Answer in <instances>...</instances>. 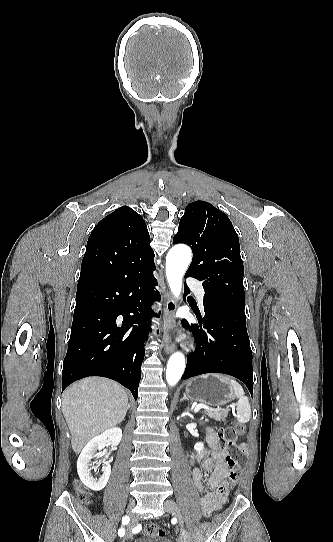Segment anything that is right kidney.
<instances>
[{
    "instance_id": "obj_1",
    "label": "right kidney",
    "mask_w": 333,
    "mask_h": 542,
    "mask_svg": "<svg viewBox=\"0 0 333 542\" xmlns=\"http://www.w3.org/2000/svg\"><path fill=\"white\" fill-rule=\"evenodd\" d=\"M122 438V430L120 428H111V430H105L100 436H95L92 438L86 446H84L78 460H77V472L78 476L87 488L94 490V492H100L105 488L111 474V466L109 462H99L103 464L102 476L101 478H93L91 470L93 468H98V466H93L90 464L93 458H98L96 450H103L105 446H118ZM105 458H109V454H106ZM91 466V468H90Z\"/></svg>"
}]
</instances>
